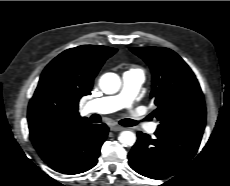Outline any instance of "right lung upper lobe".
<instances>
[{
  "label": "right lung upper lobe",
  "instance_id": "cb5924a9",
  "mask_svg": "<svg viewBox=\"0 0 230 186\" xmlns=\"http://www.w3.org/2000/svg\"><path fill=\"white\" fill-rule=\"evenodd\" d=\"M117 49L83 45L68 49L43 70L28 106L30 139L38 152L88 123L78 113L104 61Z\"/></svg>",
  "mask_w": 230,
  "mask_h": 186
}]
</instances>
